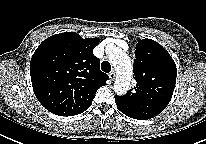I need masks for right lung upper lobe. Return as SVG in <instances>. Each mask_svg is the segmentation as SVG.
<instances>
[{"label":"right lung upper lobe","mask_w":206,"mask_h":144,"mask_svg":"<svg viewBox=\"0 0 206 144\" xmlns=\"http://www.w3.org/2000/svg\"><path fill=\"white\" fill-rule=\"evenodd\" d=\"M98 43V38L83 39L75 32H66L38 46L31 58L30 75L34 93L48 111L76 115L106 85L108 75L100 71V60L93 55Z\"/></svg>","instance_id":"1"}]
</instances>
